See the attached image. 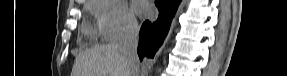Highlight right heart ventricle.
I'll return each instance as SVG.
<instances>
[{"label":"right heart ventricle","instance_id":"1","mask_svg":"<svg viewBox=\"0 0 287 76\" xmlns=\"http://www.w3.org/2000/svg\"><path fill=\"white\" fill-rule=\"evenodd\" d=\"M85 32L89 35H93L94 32L92 31V29L90 27H85Z\"/></svg>","mask_w":287,"mask_h":76}]
</instances>
